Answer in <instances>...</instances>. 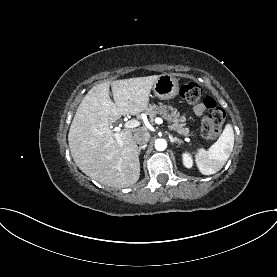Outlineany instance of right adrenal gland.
<instances>
[{
  "label": "right adrenal gland",
  "instance_id": "right-adrenal-gland-1",
  "mask_svg": "<svg viewBox=\"0 0 277 277\" xmlns=\"http://www.w3.org/2000/svg\"><path fill=\"white\" fill-rule=\"evenodd\" d=\"M147 147V145H142L138 147V154L140 155L141 150H144Z\"/></svg>",
  "mask_w": 277,
  "mask_h": 277
}]
</instances>
